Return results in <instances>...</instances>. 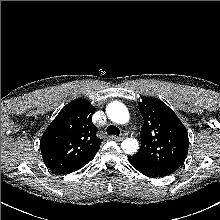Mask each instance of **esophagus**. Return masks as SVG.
<instances>
[{"instance_id": "34e87169", "label": "esophagus", "mask_w": 220, "mask_h": 220, "mask_svg": "<svg viewBox=\"0 0 220 220\" xmlns=\"http://www.w3.org/2000/svg\"><path fill=\"white\" fill-rule=\"evenodd\" d=\"M126 138L125 135L119 136V137H114L115 141L117 142H121L122 140H124Z\"/></svg>"}]
</instances>
